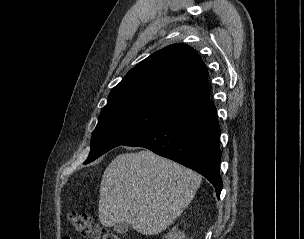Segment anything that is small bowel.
<instances>
[{"mask_svg": "<svg viewBox=\"0 0 304 239\" xmlns=\"http://www.w3.org/2000/svg\"><path fill=\"white\" fill-rule=\"evenodd\" d=\"M63 239H73V238H71V237H69V236H66V237H64Z\"/></svg>", "mask_w": 304, "mask_h": 239, "instance_id": "obj_1", "label": "small bowel"}]
</instances>
